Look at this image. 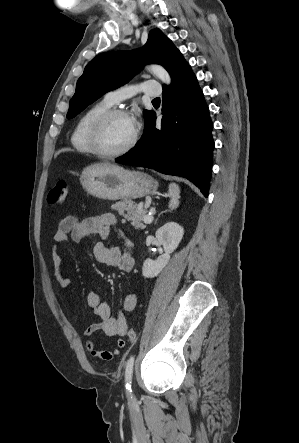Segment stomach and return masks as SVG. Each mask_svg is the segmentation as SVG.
I'll use <instances>...</instances> for the list:
<instances>
[{
    "instance_id": "1",
    "label": "stomach",
    "mask_w": 299,
    "mask_h": 443,
    "mask_svg": "<svg viewBox=\"0 0 299 443\" xmlns=\"http://www.w3.org/2000/svg\"><path fill=\"white\" fill-rule=\"evenodd\" d=\"M80 181L89 194L105 200L137 199L158 188V182L148 174L109 163L86 167Z\"/></svg>"
}]
</instances>
